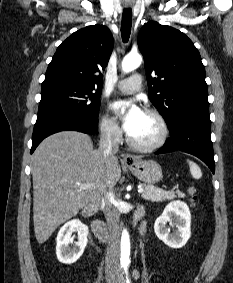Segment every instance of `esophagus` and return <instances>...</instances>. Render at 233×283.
<instances>
[{
    "label": "esophagus",
    "mask_w": 233,
    "mask_h": 283,
    "mask_svg": "<svg viewBox=\"0 0 233 283\" xmlns=\"http://www.w3.org/2000/svg\"><path fill=\"white\" fill-rule=\"evenodd\" d=\"M123 160H124L126 163H129V164L136 162L135 156H133V155H131V154H128V153H126V154L123 155Z\"/></svg>",
    "instance_id": "obj_1"
}]
</instances>
